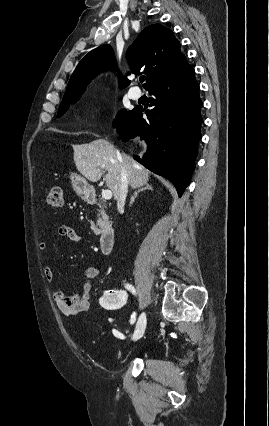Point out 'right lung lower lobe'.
Listing matches in <instances>:
<instances>
[{
    "label": "right lung lower lobe",
    "mask_w": 269,
    "mask_h": 426,
    "mask_svg": "<svg viewBox=\"0 0 269 426\" xmlns=\"http://www.w3.org/2000/svg\"><path fill=\"white\" fill-rule=\"evenodd\" d=\"M155 98L145 112L135 107L129 111L118 133L124 141L140 135L149 144L146 154L134 158L152 172L170 180L179 196L188 186L201 139L202 101L195 72L188 65L181 72L147 89Z\"/></svg>",
    "instance_id": "98d812e1"
}]
</instances>
